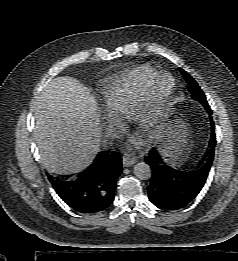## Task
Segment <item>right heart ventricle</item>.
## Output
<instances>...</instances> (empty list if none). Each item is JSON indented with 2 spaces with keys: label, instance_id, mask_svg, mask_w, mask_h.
<instances>
[{
  "label": "right heart ventricle",
  "instance_id": "right-heart-ventricle-1",
  "mask_svg": "<svg viewBox=\"0 0 238 261\" xmlns=\"http://www.w3.org/2000/svg\"><path fill=\"white\" fill-rule=\"evenodd\" d=\"M156 73L149 65H140L109 84L102 92L105 107L111 113L129 115L136 108L148 79Z\"/></svg>",
  "mask_w": 238,
  "mask_h": 261
}]
</instances>
